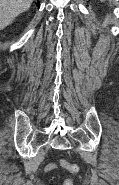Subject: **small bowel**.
I'll use <instances>...</instances> for the list:
<instances>
[{"label": "small bowel", "instance_id": "obj_1", "mask_svg": "<svg viewBox=\"0 0 119 185\" xmlns=\"http://www.w3.org/2000/svg\"><path fill=\"white\" fill-rule=\"evenodd\" d=\"M55 168H56V164L50 163V164L47 165L46 171H51V170H53Z\"/></svg>", "mask_w": 119, "mask_h": 185}]
</instances>
